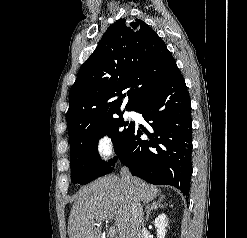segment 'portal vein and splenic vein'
I'll use <instances>...</instances> for the list:
<instances>
[{
    "mask_svg": "<svg viewBox=\"0 0 247 238\" xmlns=\"http://www.w3.org/2000/svg\"><path fill=\"white\" fill-rule=\"evenodd\" d=\"M109 217H111V215H109ZM97 224H94V226H96ZM108 234L110 237H114L116 235V229L114 227H110L108 229Z\"/></svg>",
    "mask_w": 247,
    "mask_h": 238,
    "instance_id": "1",
    "label": "portal vein and splenic vein"
}]
</instances>
